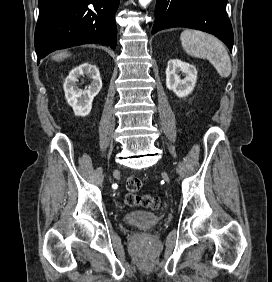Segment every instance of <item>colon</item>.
Segmentation results:
<instances>
[{
  "mask_svg": "<svg viewBox=\"0 0 272 282\" xmlns=\"http://www.w3.org/2000/svg\"><path fill=\"white\" fill-rule=\"evenodd\" d=\"M126 187L131 192L125 196V204L134 207L141 206L148 210H157L160 207V199L150 194L136 195L134 193L140 191L142 181L140 178L131 176L126 180Z\"/></svg>",
  "mask_w": 272,
  "mask_h": 282,
  "instance_id": "5ec220e1",
  "label": "colon"
}]
</instances>
